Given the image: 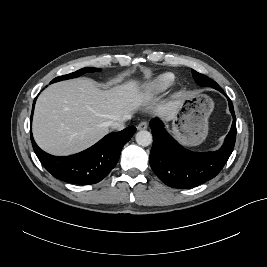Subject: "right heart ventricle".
Segmentation results:
<instances>
[{"instance_id":"e07e8e85","label":"right heart ventricle","mask_w":267,"mask_h":267,"mask_svg":"<svg viewBox=\"0 0 267 267\" xmlns=\"http://www.w3.org/2000/svg\"><path fill=\"white\" fill-rule=\"evenodd\" d=\"M174 79L175 77L172 73H163L150 80L146 88L150 92H162L173 84Z\"/></svg>"}]
</instances>
